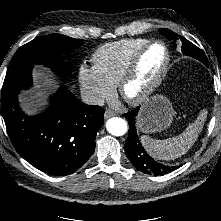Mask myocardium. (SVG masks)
Here are the masks:
<instances>
[{"label": "myocardium", "instance_id": "f54148a6", "mask_svg": "<svg viewBox=\"0 0 221 221\" xmlns=\"http://www.w3.org/2000/svg\"><path fill=\"white\" fill-rule=\"evenodd\" d=\"M161 45L165 50V60L157 74V76L154 78V80L137 96L135 97H128L125 94L126 87L130 82L133 81V79L136 76L139 63L143 57V55L146 53V51L151 48L153 45ZM171 61V54L169 47L167 44L162 40H150L147 43H145L143 46H141L131 57L129 60L125 70L123 71L118 83L117 88L119 94L122 96V98L128 102L131 105L137 106L141 105L144 102H146L153 94L154 92L159 88L161 83L163 82L169 65Z\"/></svg>", "mask_w": 221, "mask_h": 221}]
</instances>
